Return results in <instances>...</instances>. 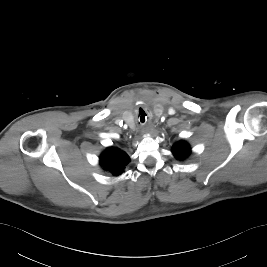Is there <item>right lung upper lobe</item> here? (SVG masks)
I'll return each instance as SVG.
<instances>
[{
    "mask_svg": "<svg viewBox=\"0 0 267 267\" xmlns=\"http://www.w3.org/2000/svg\"><path fill=\"white\" fill-rule=\"evenodd\" d=\"M129 161L127 153L116 147H108L100 156L101 167L112 176L121 175Z\"/></svg>",
    "mask_w": 267,
    "mask_h": 267,
    "instance_id": "obj_1",
    "label": "right lung upper lobe"
}]
</instances>
